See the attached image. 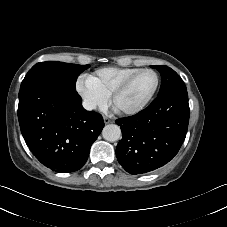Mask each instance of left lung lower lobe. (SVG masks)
Instances as JSON below:
<instances>
[{"instance_id":"1","label":"left lung lower lobe","mask_w":227,"mask_h":227,"mask_svg":"<svg viewBox=\"0 0 227 227\" xmlns=\"http://www.w3.org/2000/svg\"><path fill=\"white\" fill-rule=\"evenodd\" d=\"M189 114L187 90H170L136 115L116 120L122 131L116 148L120 165L133 175L164 166L185 139Z\"/></svg>"}]
</instances>
